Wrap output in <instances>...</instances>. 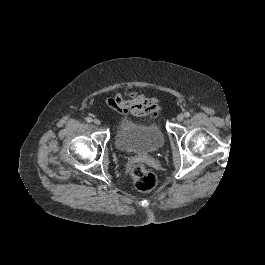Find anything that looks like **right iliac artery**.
I'll return each mask as SVG.
<instances>
[{
  "label": "right iliac artery",
  "instance_id": "1",
  "mask_svg": "<svg viewBox=\"0 0 265 265\" xmlns=\"http://www.w3.org/2000/svg\"><path fill=\"white\" fill-rule=\"evenodd\" d=\"M86 121H87L88 123H90V122H92V118L87 117V118H86Z\"/></svg>",
  "mask_w": 265,
  "mask_h": 265
}]
</instances>
